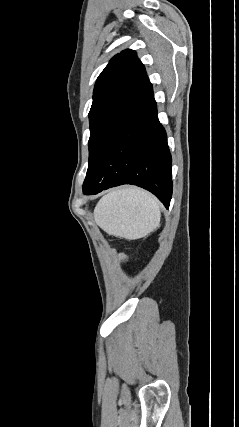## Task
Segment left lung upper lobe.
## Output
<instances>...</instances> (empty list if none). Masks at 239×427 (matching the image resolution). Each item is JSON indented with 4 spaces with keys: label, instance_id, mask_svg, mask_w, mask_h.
<instances>
[{
    "label": "left lung upper lobe",
    "instance_id": "left-lung-upper-lobe-1",
    "mask_svg": "<svg viewBox=\"0 0 239 427\" xmlns=\"http://www.w3.org/2000/svg\"><path fill=\"white\" fill-rule=\"evenodd\" d=\"M153 98L152 85L135 51L115 55L99 75L89 112V166L83 188L117 131Z\"/></svg>",
    "mask_w": 239,
    "mask_h": 427
}]
</instances>
